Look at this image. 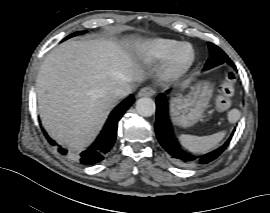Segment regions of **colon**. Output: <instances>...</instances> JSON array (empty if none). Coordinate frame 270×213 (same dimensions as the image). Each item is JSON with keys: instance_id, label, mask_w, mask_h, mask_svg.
<instances>
[{"instance_id": "1", "label": "colon", "mask_w": 270, "mask_h": 213, "mask_svg": "<svg viewBox=\"0 0 270 213\" xmlns=\"http://www.w3.org/2000/svg\"><path fill=\"white\" fill-rule=\"evenodd\" d=\"M235 82L236 76L233 72L225 74L214 98L217 109L225 110L232 105L235 93Z\"/></svg>"}]
</instances>
